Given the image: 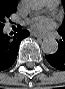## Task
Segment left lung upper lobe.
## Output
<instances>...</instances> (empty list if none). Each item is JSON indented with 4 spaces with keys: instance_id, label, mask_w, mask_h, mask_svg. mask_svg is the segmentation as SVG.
Instances as JSON below:
<instances>
[{
    "instance_id": "obj_1",
    "label": "left lung upper lobe",
    "mask_w": 65,
    "mask_h": 89,
    "mask_svg": "<svg viewBox=\"0 0 65 89\" xmlns=\"http://www.w3.org/2000/svg\"><path fill=\"white\" fill-rule=\"evenodd\" d=\"M59 34H65V19L62 26L58 29Z\"/></svg>"
}]
</instances>
